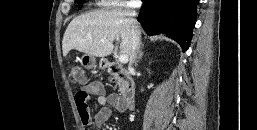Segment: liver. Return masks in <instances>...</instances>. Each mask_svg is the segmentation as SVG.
<instances>
[{"label": "liver", "instance_id": "1", "mask_svg": "<svg viewBox=\"0 0 257 130\" xmlns=\"http://www.w3.org/2000/svg\"><path fill=\"white\" fill-rule=\"evenodd\" d=\"M131 20L127 12L120 10H96L75 17L63 36V56L75 49L103 58L113 52V42L121 39L120 54L130 58Z\"/></svg>", "mask_w": 257, "mask_h": 130}]
</instances>
